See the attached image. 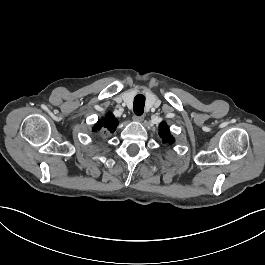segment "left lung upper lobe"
Masks as SVG:
<instances>
[{
    "instance_id": "5c2ea615",
    "label": "left lung upper lobe",
    "mask_w": 265,
    "mask_h": 265,
    "mask_svg": "<svg viewBox=\"0 0 265 265\" xmlns=\"http://www.w3.org/2000/svg\"><path fill=\"white\" fill-rule=\"evenodd\" d=\"M159 135L164 142L174 143L175 141L170 133L169 127L165 122L161 123L160 125Z\"/></svg>"
}]
</instances>
